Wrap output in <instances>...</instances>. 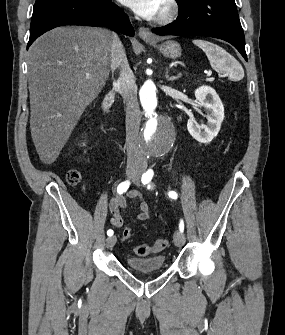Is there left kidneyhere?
Instances as JSON below:
<instances>
[{"instance_id": "5707ae66", "label": "left kidney", "mask_w": 285, "mask_h": 335, "mask_svg": "<svg viewBox=\"0 0 285 335\" xmlns=\"http://www.w3.org/2000/svg\"><path fill=\"white\" fill-rule=\"evenodd\" d=\"M195 98L200 102L199 106L205 108L208 120L207 126H198L195 118H190L187 122V130L192 138L200 144H209L216 138L220 126L225 118L223 104L213 88L210 86H200L195 90ZM202 114L201 110H198Z\"/></svg>"}]
</instances>
